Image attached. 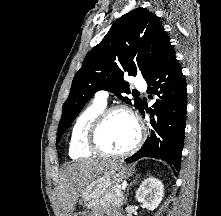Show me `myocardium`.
I'll return each instance as SVG.
<instances>
[{
    "mask_svg": "<svg viewBox=\"0 0 221 216\" xmlns=\"http://www.w3.org/2000/svg\"><path fill=\"white\" fill-rule=\"evenodd\" d=\"M117 112H123L132 119L136 126L137 136L133 144L127 149L120 152H110L100 144L99 134L108 118ZM144 135L145 131L143 123L139 116L131 108L126 105H113L102 110L101 113L89 125L86 133V145L89 150L101 156L124 157L130 155L140 147L143 142Z\"/></svg>",
    "mask_w": 221,
    "mask_h": 216,
    "instance_id": "f54148a6",
    "label": "myocardium"
}]
</instances>
